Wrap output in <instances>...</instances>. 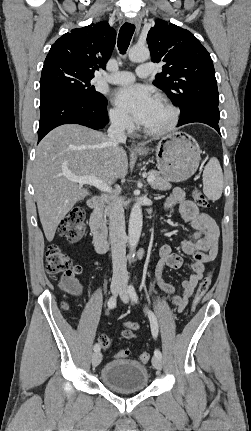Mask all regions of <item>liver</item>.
<instances>
[{"label": "liver", "mask_w": 251, "mask_h": 431, "mask_svg": "<svg viewBox=\"0 0 251 431\" xmlns=\"http://www.w3.org/2000/svg\"><path fill=\"white\" fill-rule=\"evenodd\" d=\"M128 172L126 151L99 131L78 124L59 126L36 149L33 185L40 221L51 242L56 229L74 207L89 194L69 176H94L110 185Z\"/></svg>", "instance_id": "1"}]
</instances>
